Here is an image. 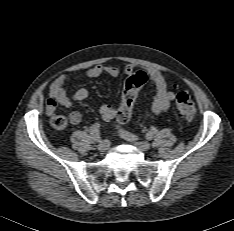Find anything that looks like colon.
I'll list each match as a JSON object with an SVG mask.
<instances>
[{
  "label": "colon",
  "mask_w": 234,
  "mask_h": 231,
  "mask_svg": "<svg viewBox=\"0 0 234 231\" xmlns=\"http://www.w3.org/2000/svg\"><path fill=\"white\" fill-rule=\"evenodd\" d=\"M146 82L147 75L144 72H137L127 77L121 95L120 108L116 117L118 124L125 125L131 120L134 103L140 89ZM175 104L179 113L187 120H191L195 116V103L186 92L181 91L176 93ZM52 123L55 128L63 129L67 125V120L64 116L58 115L53 117Z\"/></svg>",
  "instance_id": "1"
}]
</instances>
